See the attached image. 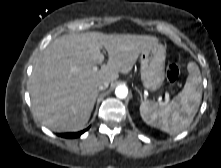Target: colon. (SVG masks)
Returning a JSON list of instances; mask_svg holds the SVG:
<instances>
[{"label":"colon","mask_w":221,"mask_h":168,"mask_svg":"<svg viewBox=\"0 0 221 168\" xmlns=\"http://www.w3.org/2000/svg\"><path fill=\"white\" fill-rule=\"evenodd\" d=\"M179 76H180V69L179 67L174 64V63H169L167 64L166 66V77H167V80L174 84L178 81L179 79Z\"/></svg>","instance_id":"5ec220e1"}]
</instances>
